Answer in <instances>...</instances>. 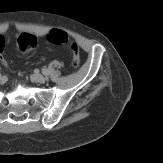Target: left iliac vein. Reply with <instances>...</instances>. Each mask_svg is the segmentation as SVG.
Here are the masks:
<instances>
[{
    "label": "left iliac vein",
    "mask_w": 163,
    "mask_h": 163,
    "mask_svg": "<svg viewBox=\"0 0 163 163\" xmlns=\"http://www.w3.org/2000/svg\"><path fill=\"white\" fill-rule=\"evenodd\" d=\"M33 79L34 81L38 82V83H44L45 82V77L42 75V74H39V73H35L33 75Z\"/></svg>",
    "instance_id": "left-iliac-vein-1"
}]
</instances>
